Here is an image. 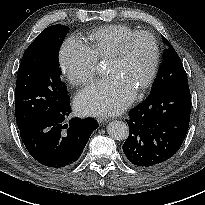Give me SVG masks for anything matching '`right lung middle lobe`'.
Segmentation results:
<instances>
[{
	"label": "right lung middle lobe",
	"instance_id": "right-lung-middle-lobe-1",
	"mask_svg": "<svg viewBox=\"0 0 205 205\" xmlns=\"http://www.w3.org/2000/svg\"><path fill=\"white\" fill-rule=\"evenodd\" d=\"M69 27L44 29L26 49L17 73L15 114L21 129L52 106L69 100L61 80L58 54Z\"/></svg>",
	"mask_w": 205,
	"mask_h": 205
}]
</instances>
